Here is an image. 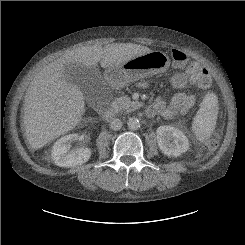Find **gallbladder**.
Instances as JSON below:
<instances>
[{
	"instance_id": "obj_1",
	"label": "gallbladder",
	"mask_w": 245,
	"mask_h": 245,
	"mask_svg": "<svg viewBox=\"0 0 245 245\" xmlns=\"http://www.w3.org/2000/svg\"><path fill=\"white\" fill-rule=\"evenodd\" d=\"M67 80L76 85L92 108L99 110L106 101H110V94L100 72L82 64H69L65 68Z\"/></svg>"
}]
</instances>
